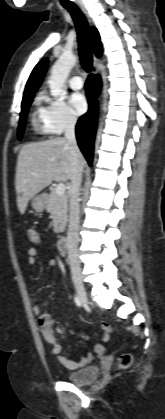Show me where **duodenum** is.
Here are the masks:
<instances>
[{
	"mask_svg": "<svg viewBox=\"0 0 165 419\" xmlns=\"http://www.w3.org/2000/svg\"><path fill=\"white\" fill-rule=\"evenodd\" d=\"M66 243H67V238L65 236L60 237L57 242L58 252L61 256L66 255Z\"/></svg>",
	"mask_w": 165,
	"mask_h": 419,
	"instance_id": "410a0bca",
	"label": "duodenum"
}]
</instances>
